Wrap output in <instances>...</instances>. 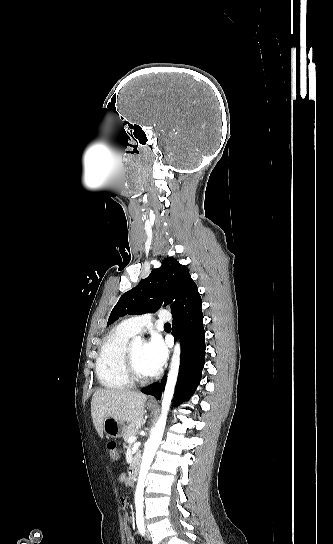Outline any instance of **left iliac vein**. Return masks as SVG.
Returning <instances> with one entry per match:
<instances>
[{
    "label": "left iliac vein",
    "mask_w": 333,
    "mask_h": 544,
    "mask_svg": "<svg viewBox=\"0 0 333 544\" xmlns=\"http://www.w3.org/2000/svg\"><path fill=\"white\" fill-rule=\"evenodd\" d=\"M146 537H147V539H148V540H150V539H151V535H150V533H149V531H148V530H146Z\"/></svg>",
    "instance_id": "obj_1"
}]
</instances>
